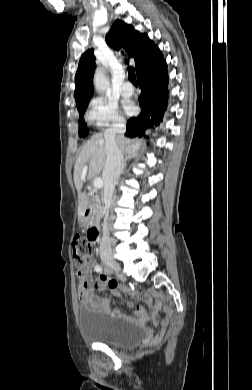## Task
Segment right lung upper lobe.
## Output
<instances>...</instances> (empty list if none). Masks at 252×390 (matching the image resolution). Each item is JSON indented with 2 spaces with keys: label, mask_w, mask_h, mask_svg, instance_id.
Instances as JSON below:
<instances>
[{
  "label": "right lung upper lobe",
  "mask_w": 252,
  "mask_h": 390,
  "mask_svg": "<svg viewBox=\"0 0 252 390\" xmlns=\"http://www.w3.org/2000/svg\"><path fill=\"white\" fill-rule=\"evenodd\" d=\"M106 42L116 50L123 47L128 56L134 57L137 78L145 71L159 69L166 63L159 48L148 38L147 34H140L132 26L116 20L106 35ZM93 49L86 51L80 59L75 75V100L77 109L88 105L93 95V73L95 70Z\"/></svg>",
  "instance_id": "1"
}]
</instances>
